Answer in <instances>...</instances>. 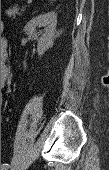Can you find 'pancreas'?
I'll use <instances>...</instances> for the list:
<instances>
[{"label": "pancreas", "mask_w": 109, "mask_h": 170, "mask_svg": "<svg viewBox=\"0 0 109 170\" xmlns=\"http://www.w3.org/2000/svg\"><path fill=\"white\" fill-rule=\"evenodd\" d=\"M22 11H24V9ZM6 14L11 18H15L16 15H20L21 13L19 12L18 7H13L12 9H7Z\"/></svg>", "instance_id": "pancreas-1"}]
</instances>
